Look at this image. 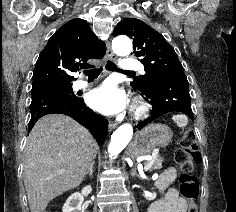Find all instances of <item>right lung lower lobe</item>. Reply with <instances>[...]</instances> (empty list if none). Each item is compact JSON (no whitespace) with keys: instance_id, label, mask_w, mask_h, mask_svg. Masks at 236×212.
<instances>
[{"instance_id":"obj_1","label":"right lung lower lobe","mask_w":236,"mask_h":212,"mask_svg":"<svg viewBox=\"0 0 236 212\" xmlns=\"http://www.w3.org/2000/svg\"><path fill=\"white\" fill-rule=\"evenodd\" d=\"M29 131L36 121L47 114H65L87 127L100 145L108 134V121L86 107L82 98L70 100L49 88H33L30 105Z\"/></svg>"}]
</instances>
